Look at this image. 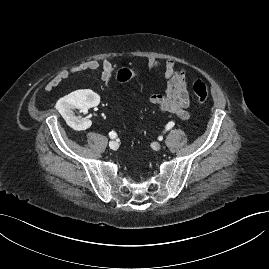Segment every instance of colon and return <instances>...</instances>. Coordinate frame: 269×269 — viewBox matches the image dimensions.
Here are the masks:
<instances>
[{
    "mask_svg": "<svg viewBox=\"0 0 269 269\" xmlns=\"http://www.w3.org/2000/svg\"><path fill=\"white\" fill-rule=\"evenodd\" d=\"M133 77V73L128 69H120L115 76V81L119 84L126 83ZM193 94L198 103H204L208 99V89L200 81L193 84Z\"/></svg>",
    "mask_w": 269,
    "mask_h": 269,
    "instance_id": "1",
    "label": "colon"
}]
</instances>
